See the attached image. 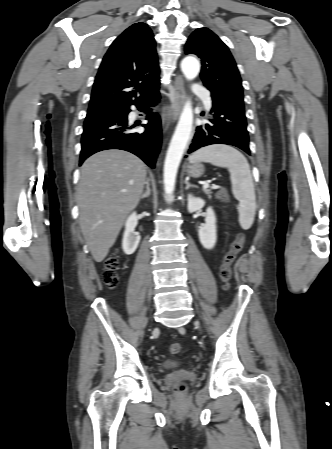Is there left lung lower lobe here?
I'll return each mask as SVG.
<instances>
[{
    "label": "left lung lower lobe",
    "mask_w": 332,
    "mask_h": 449,
    "mask_svg": "<svg viewBox=\"0 0 332 449\" xmlns=\"http://www.w3.org/2000/svg\"><path fill=\"white\" fill-rule=\"evenodd\" d=\"M209 123L196 128L188 153L212 144L236 146L250 154L249 136L244 109L213 100Z\"/></svg>",
    "instance_id": "1"
}]
</instances>
